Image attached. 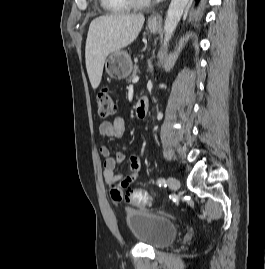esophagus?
<instances>
[{"instance_id": "34e87169", "label": "esophagus", "mask_w": 265, "mask_h": 269, "mask_svg": "<svg viewBox=\"0 0 265 269\" xmlns=\"http://www.w3.org/2000/svg\"><path fill=\"white\" fill-rule=\"evenodd\" d=\"M159 17L158 16H151L150 17V22L156 23L158 21Z\"/></svg>"}]
</instances>
